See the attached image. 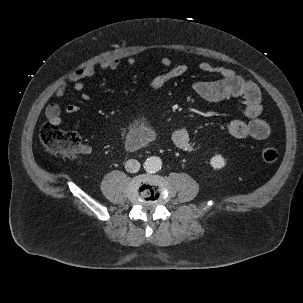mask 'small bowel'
<instances>
[{
  "mask_svg": "<svg viewBox=\"0 0 303 303\" xmlns=\"http://www.w3.org/2000/svg\"><path fill=\"white\" fill-rule=\"evenodd\" d=\"M127 64L133 66L136 60L133 57L127 59ZM121 61L118 58H112L101 62L100 67L103 70H116L120 67ZM161 65L164 71L156 75L150 82L151 92H157L162 89L168 82L185 75L189 67L186 64L174 65L170 57H163ZM200 70L208 73H217L220 78L214 81H198L193 83L192 90L199 98L217 102L228 98H241L243 100V113L245 119H235L228 123L227 132L233 138H254L257 140L266 139L270 134L268 123L261 118L262 104L261 93L257 85L238 74L232 69L222 66H216L210 62H202ZM94 65L75 70L70 74L55 92L56 97H63L70 88L79 93L80 98L89 101L91 96L84 92V80L95 74ZM81 111V108L73 103L65 107V112L74 114ZM62 107L58 103H51L46 107L45 116L49 123L59 125L61 123ZM137 130H148L145 126L134 127ZM152 132V131H151ZM174 145L184 151H193L196 145L193 142L191 133L186 128L176 129L172 133ZM84 153L89 151L88 147L82 148Z\"/></svg>",
  "mask_w": 303,
  "mask_h": 303,
  "instance_id": "c3829d8e",
  "label": "small bowel"
}]
</instances>
